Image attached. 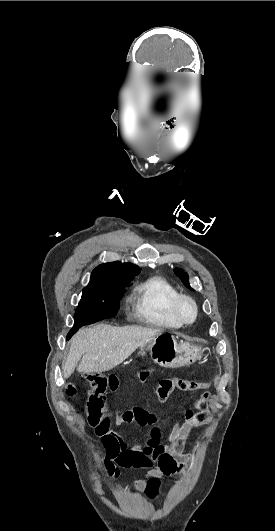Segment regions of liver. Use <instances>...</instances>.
<instances>
[{"mask_svg": "<svg viewBox=\"0 0 275 531\" xmlns=\"http://www.w3.org/2000/svg\"><path fill=\"white\" fill-rule=\"evenodd\" d=\"M159 333L160 329L138 325H94L80 329L72 339L69 355L63 365V377H71L76 367L78 373L110 371L128 359L142 343Z\"/></svg>", "mask_w": 275, "mask_h": 531, "instance_id": "obj_1", "label": "liver"}]
</instances>
